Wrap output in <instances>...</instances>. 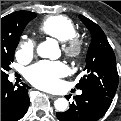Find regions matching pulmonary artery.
I'll return each mask as SVG.
<instances>
[{"label":"pulmonary artery","instance_id":"e3ab8cb5","mask_svg":"<svg viewBox=\"0 0 121 121\" xmlns=\"http://www.w3.org/2000/svg\"><path fill=\"white\" fill-rule=\"evenodd\" d=\"M81 93H82V92H81V91H79V92H78V95H80Z\"/></svg>","mask_w":121,"mask_h":121}]
</instances>
